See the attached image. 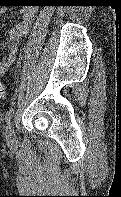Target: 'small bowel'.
<instances>
[{
  "label": "small bowel",
  "mask_w": 121,
  "mask_h": 197,
  "mask_svg": "<svg viewBox=\"0 0 121 197\" xmlns=\"http://www.w3.org/2000/svg\"><path fill=\"white\" fill-rule=\"evenodd\" d=\"M5 10V7H0V16ZM19 15L20 21L7 32L5 40L0 41V50L7 47L6 55L0 57V76L6 74L15 61L20 38L28 32L33 21V11L29 8H20Z\"/></svg>",
  "instance_id": "c3829d8e"
}]
</instances>
